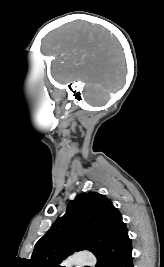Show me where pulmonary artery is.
I'll return each instance as SVG.
<instances>
[{
	"mask_svg": "<svg viewBox=\"0 0 164 267\" xmlns=\"http://www.w3.org/2000/svg\"><path fill=\"white\" fill-rule=\"evenodd\" d=\"M94 257L88 254L80 255L72 260V264L77 267H84V265H94Z\"/></svg>",
	"mask_w": 164,
	"mask_h": 267,
	"instance_id": "obj_1",
	"label": "pulmonary artery"
}]
</instances>
